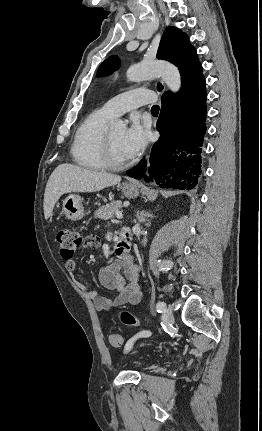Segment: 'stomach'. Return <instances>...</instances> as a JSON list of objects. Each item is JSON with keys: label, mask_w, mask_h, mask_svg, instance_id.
Here are the masks:
<instances>
[{"label": "stomach", "mask_w": 262, "mask_h": 431, "mask_svg": "<svg viewBox=\"0 0 262 431\" xmlns=\"http://www.w3.org/2000/svg\"><path fill=\"white\" fill-rule=\"evenodd\" d=\"M124 196L127 198H136L139 189L133 184H124L122 187ZM83 198L76 194H71L63 200V211L66 217L72 221L80 220L84 217Z\"/></svg>", "instance_id": "0dacf381"}]
</instances>
